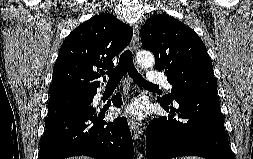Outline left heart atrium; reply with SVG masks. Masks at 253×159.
<instances>
[{"label": "left heart atrium", "instance_id": "obj_1", "mask_svg": "<svg viewBox=\"0 0 253 159\" xmlns=\"http://www.w3.org/2000/svg\"><path fill=\"white\" fill-rule=\"evenodd\" d=\"M146 112V106L141 100H134L128 105H126L123 109V113L126 115L140 119L144 116Z\"/></svg>", "mask_w": 253, "mask_h": 159}]
</instances>
